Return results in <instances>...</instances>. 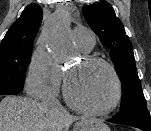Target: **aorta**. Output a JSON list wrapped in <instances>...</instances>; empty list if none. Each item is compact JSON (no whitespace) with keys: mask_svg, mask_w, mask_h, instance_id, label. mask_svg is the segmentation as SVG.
<instances>
[{"mask_svg":"<svg viewBox=\"0 0 151 131\" xmlns=\"http://www.w3.org/2000/svg\"><path fill=\"white\" fill-rule=\"evenodd\" d=\"M67 23L66 14H56L45 29V40L52 47L55 58L59 61H68L76 56Z\"/></svg>","mask_w":151,"mask_h":131,"instance_id":"aorta-1","label":"aorta"}]
</instances>
